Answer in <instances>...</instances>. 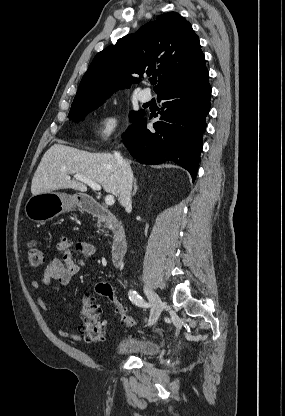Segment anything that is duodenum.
I'll return each mask as SVG.
<instances>
[{
  "label": "duodenum",
  "mask_w": 285,
  "mask_h": 416,
  "mask_svg": "<svg viewBox=\"0 0 285 416\" xmlns=\"http://www.w3.org/2000/svg\"><path fill=\"white\" fill-rule=\"evenodd\" d=\"M80 206H84L85 209L93 216L103 218L114 224L112 230V244H111V261L114 268H120L125 258L128 240L124 230L116 224L114 215L105 208L102 204L98 203L97 197H90L88 193H79L77 196Z\"/></svg>",
  "instance_id": "1"
}]
</instances>
